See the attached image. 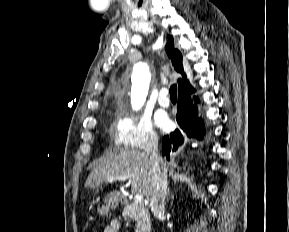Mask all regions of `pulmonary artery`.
Segmentation results:
<instances>
[{
    "label": "pulmonary artery",
    "mask_w": 289,
    "mask_h": 232,
    "mask_svg": "<svg viewBox=\"0 0 289 232\" xmlns=\"http://www.w3.org/2000/svg\"><path fill=\"white\" fill-rule=\"evenodd\" d=\"M158 103L162 107H168L170 105V100L168 98V90L166 88H163L159 92V97H158Z\"/></svg>",
    "instance_id": "obj_1"
}]
</instances>
